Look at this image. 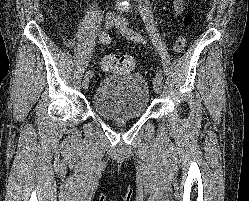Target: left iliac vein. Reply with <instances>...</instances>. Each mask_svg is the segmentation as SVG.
<instances>
[{
	"label": "left iliac vein",
	"instance_id": "4c4485c4",
	"mask_svg": "<svg viewBox=\"0 0 249 201\" xmlns=\"http://www.w3.org/2000/svg\"><path fill=\"white\" fill-rule=\"evenodd\" d=\"M115 25L116 27L120 30V32L127 38H130L127 34V26H128V22L126 21L125 18L121 17V16H116L115 18ZM131 39V38H130ZM153 88L155 90L156 93H160L161 89H162V80L159 77H155L153 79Z\"/></svg>",
	"mask_w": 249,
	"mask_h": 201
}]
</instances>
